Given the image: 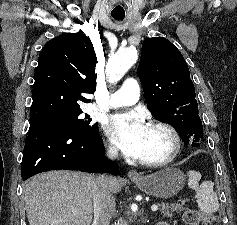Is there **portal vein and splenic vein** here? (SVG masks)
I'll use <instances>...</instances> for the list:
<instances>
[{"label": "portal vein and splenic vein", "mask_w": 237, "mask_h": 225, "mask_svg": "<svg viewBox=\"0 0 237 225\" xmlns=\"http://www.w3.org/2000/svg\"><path fill=\"white\" fill-rule=\"evenodd\" d=\"M151 210H152L153 212H156V211L158 210V206H157V205H152V206H151Z\"/></svg>", "instance_id": "18ae733b"}]
</instances>
